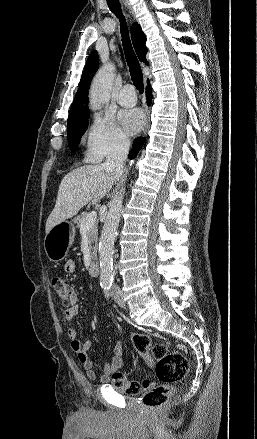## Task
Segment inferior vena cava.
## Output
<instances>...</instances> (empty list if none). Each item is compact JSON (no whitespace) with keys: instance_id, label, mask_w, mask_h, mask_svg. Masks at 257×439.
Returning <instances> with one entry per match:
<instances>
[{"instance_id":"inferior-vena-cava-1","label":"inferior vena cava","mask_w":257,"mask_h":439,"mask_svg":"<svg viewBox=\"0 0 257 439\" xmlns=\"http://www.w3.org/2000/svg\"><path fill=\"white\" fill-rule=\"evenodd\" d=\"M130 147V140L127 137L118 138L111 146L104 166L113 169L116 176L121 174L124 161L127 158Z\"/></svg>"}]
</instances>
